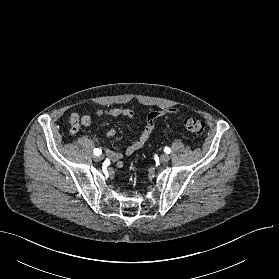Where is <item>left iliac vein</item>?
I'll return each mask as SVG.
<instances>
[{
	"label": "left iliac vein",
	"mask_w": 279,
	"mask_h": 279,
	"mask_svg": "<svg viewBox=\"0 0 279 279\" xmlns=\"http://www.w3.org/2000/svg\"><path fill=\"white\" fill-rule=\"evenodd\" d=\"M169 160H170L169 155H167V154H161V155H160V161H161L162 163H167Z\"/></svg>",
	"instance_id": "obj_1"
}]
</instances>
